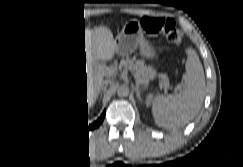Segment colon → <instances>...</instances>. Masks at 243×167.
<instances>
[{"instance_id":"1","label":"colon","mask_w":243,"mask_h":167,"mask_svg":"<svg viewBox=\"0 0 243 167\" xmlns=\"http://www.w3.org/2000/svg\"><path fill=\"white\" fill-rule=\"evenodd\" d=\"M141 26L147 33L164 35L174 44H179L183 38L182 32L176 27L175 20L169 17H144L141 19Z\"/></svg>"}]
</instances>
